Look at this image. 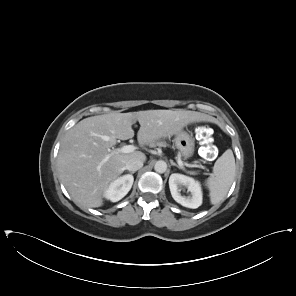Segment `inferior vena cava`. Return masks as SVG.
I'll use <instances>...</instances> for the list:
<instances>
[{"mask_svg": "<svg viewBox=\"0 0 296 296\" xmlns=\"http://www.w3.org/2000/svg\"><path fill=\"white\" fill-rule=\"evenodd\" d=\"M143 167V161L139 158H131L126 162L125 168L129 171H137Z\"/></svg>", "mask_w": 296, "mask_h": 296, "instance_id": "1", "label": "inferior vena cava"}]
</instances>
